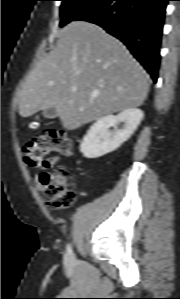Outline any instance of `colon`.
I'll return each mask as SVG.
<instances>
[{
    "label": "colon",
    "mask_w": 180,
    "mask_h": 299,
    "mask_svg": "<svg viewBox=\"0 0 180 299\" xmlns=\"http://www.w3.org/2000/svg\"><path fill=\"white\" fill-rule=\"evenodd\" d=\"M38 126L32 123V128ZM73 150V143L69 135L58 129H46L34 141L24 144V161L30 167L41 166L44 158L51 152L69 156ZM41 196L44 203L52 209L69 207L75 200V192L68 180V175L63 167L54 171L43 172L40 176Z\"/></svg>",
    "instance_id": "5ec220e1"
}]
</instances>
